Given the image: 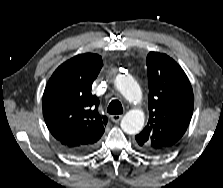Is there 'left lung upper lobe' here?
<instances>
[{"instance_id":"5c2ea615","label":"left lung upper lobe","mask_w":223,"mask_h":188,"mask_svg":"<svg viewBox=\"0 0 223 188\" xmlns=\"http://www.w3.org/2000/svg\"><path fill=\"white\" fill-rule=\"evenodd\" d=\"M146 64L149 121L135 139L144 151L160 154L169 151L185 133L194 96L188 77L172 58L150 52Z\"/></svg>"}]
</instances>
